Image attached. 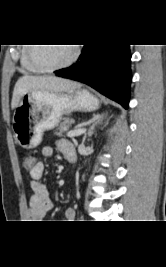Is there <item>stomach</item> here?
I'll return each instance as SVG.
<instances>
[{
    "label": "stomach",
    "mask_w": 166,
    "mask_h": 267,
    "mask_svg": "<svg viewBox=\"0 0 166 267\" xmlns=\"http://www.w3.org/2000/svg\"><path fill=\"white\" fill-rule=\"evenodd\" d=\"M99 106V100L84 89L61 93L31 91L22 97L13 114L15 140L23 148H34L41 143L44 131L57 126L63 115L91 112Z\"/></svg>",
    "instance_id": "1"
}]
</instances>
